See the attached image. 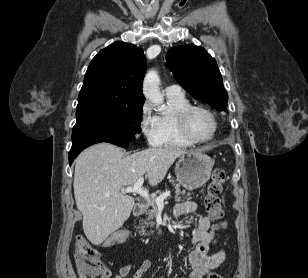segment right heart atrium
<instances>
[{"mask_svg": "<svg viewBox=\"0 0 308 278\" xmlns=\"http://www.w3.org/2000/svg\"><path fill=\"white\" fill-rule=\"evenodd\" d=\"M138 126L146 142L151 146H158L159 131L157 117L153 115L147 103H144L141 107Z\"/></svg>", "mask_w": 308, "mask_h": 278, "instance_id": "obj_1", "label": "right heart atrium"}]
</instances>
